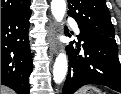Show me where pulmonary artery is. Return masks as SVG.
Here are the masks:
<instances>
[{"mask_svg": "<svg viewBox=\"0 0 121 94\" xmlns=\"http://www.w3.org/2000/svg\"><path fill=\"white\" fill-rule=\"evenodd\" d=\"M70 24H71V27L75 30V32L79 34L80 30H79L77 22L75 20H70Z\"/></svg>", "mask_w": 121, "mask_h": 94, "instance_id": "pulmonary-artery-1", "label": "pulmonary artery"}]
</instances>
